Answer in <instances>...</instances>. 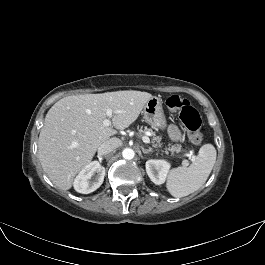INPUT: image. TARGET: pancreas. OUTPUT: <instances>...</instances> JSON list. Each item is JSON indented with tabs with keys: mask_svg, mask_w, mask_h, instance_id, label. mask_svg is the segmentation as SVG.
<instances>
[{
	"mask_svg": "<svg viewBox=\"0 0 265 265\" xmlns=\"http://www.w3.org/2000/svg\"><path fill=\"white\" fill-rule=\"evenodd\" d=\"M140 131H143L142 128L140 129ZM144 131H148L153 136V138H152L153 143H156V144L160 143L161 137L156 136L155 132H153L152 129H148L145 127ZM168 152H171L172 154L179 153V152H181V146L180 145H172L171 147L166 149V153H168Z\"/></svg>",
	"mask_w": 265,
	"mask_h": 265,
	"instance_id": "pancreas-1",
	"label": "pancreas"
}]
</instances>
